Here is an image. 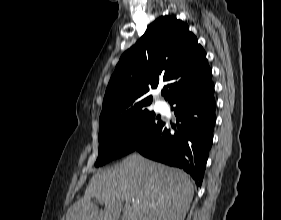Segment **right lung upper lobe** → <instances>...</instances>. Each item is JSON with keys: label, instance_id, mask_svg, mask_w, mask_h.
Instances as JSON below:
<instances>
[{"label": "right lung upper lobe", "instance_id": "cb5924a9", "mask_svg": "<svg viewBox=\"0 0 281 220\" xmlns=\"http://www.w3.org/2000/svg\"><path fill=\"white\" fill-rule=\"evenodd\" d=\"M168 82L169 101L178 94L211 82L206 53L176 17L162 16L120 58L105 92L99 126L147 109L150 89Z\"/></svg>", "mask_w": 281, "mask_h": 220}]
</instances>
